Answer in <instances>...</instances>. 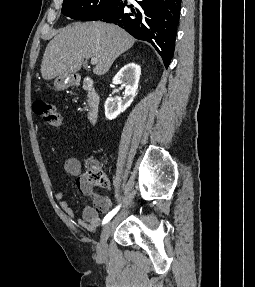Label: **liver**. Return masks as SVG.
<instances>
[{
	"instance_id": "1",
	"label": "liver",
	"mask_w": 255,
	"mask_h": 287,
	"mask_svg": "<svg viewBox=\"0 0 255 287\" xmlns=\"http://www.w3.org/2000/svg\"><path fill=\"white\" fill-rule=\"evenodd\" d=\"M135 40L125 30L104 22H75L49 42L41 64L43 80L79 72L84 58H97L93 74L103 76Z\"/></svg>"
}]
</instances>
